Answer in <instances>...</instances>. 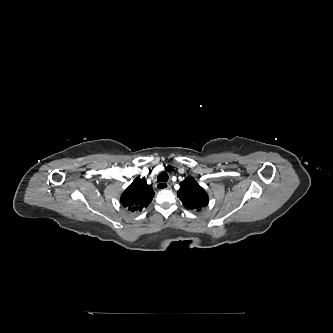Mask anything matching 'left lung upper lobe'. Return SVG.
<instances>
[{
    "mask_svg": "<svg viewBox=\"0 0 333 333\" xmlns=\"http://www.w3.org/2000/svg\"><path fill=\"white\" fill-rule=\"evenodd\" d=\"M177 195L184 207L190 210L200 211L203 207L208 205L207 193L192 177L180 183V189Z\"/></svg>",
    "mask_w": 333,
    "mask_h": 333,
    "instance_id": "obj_1",
    "label": "left lung upper lobe"
}]
</instances>
